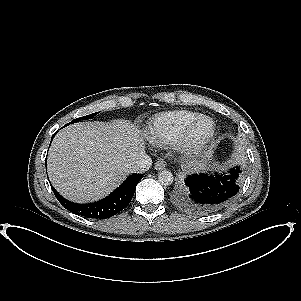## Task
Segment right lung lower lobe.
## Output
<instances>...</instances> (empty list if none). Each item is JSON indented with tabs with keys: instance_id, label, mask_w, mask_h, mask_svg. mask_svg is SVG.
<instances>
[{
	"instance_id": "1",
	"label": "right lung lower lobe",
	"mask_w": 301,
	"mask_h": 301,
	"mask_svg": "<svg viewBox=\"0 0 301 301\" xmlns=\"http://www.w3.org/2000/svg\"><path fill=\"white\" fill-rule=\"evenodd\" d=\"M55 134H53L51 139H53ZM142 178L143 174H132L109 196L100 201L88 204L70 202L63 198L52 186L51 188L58 201L67 210L88 218L105 219L117 214L130 203L136 185Z\"/></svg>"
}]
</instances>
